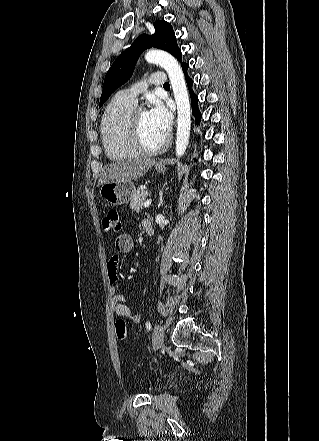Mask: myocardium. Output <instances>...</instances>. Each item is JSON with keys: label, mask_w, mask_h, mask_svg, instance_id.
<instances>
[{"label": "myocardium", "mask_w": 319, "mask_h": 441, "mask_svg": "<svg viewBox=\"0 0 319 441\" xmlns=\"http://www.w3.org/2000/svg\"><path fill=\"white\" fill-rule=\"evenodd\" d=\"M141 111H144L142 108H135L133 112L131 113L130 119H129V128H128V137L131 146L134 148V150L138 154L142 155H156L161 152H163L170 143V138L166 136L164 141L154 147L150 148L147 147L141 138V132H140V123H139V113Z\"/></svg>", "instance_id": "1"}]
</instances>
